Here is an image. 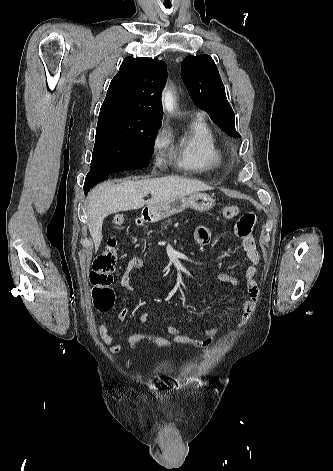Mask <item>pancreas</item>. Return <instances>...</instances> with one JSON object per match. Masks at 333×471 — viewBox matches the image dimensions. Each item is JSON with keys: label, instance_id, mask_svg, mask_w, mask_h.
Listing matches in <instances>:
<instances>
[{"label": "pancreas", "instance_id": "obj_1", "mask_svg": "<svg viewBox=\"0 0 333 471\" xmlns=\"http://www.w3.org/2000/svg\"><path fill=\"white\" fill-rule=\"evenodd\" d=\"M169 224H170V220H168V221L166 220V221L164 222V226L161 228V230H160L159 232H160L161 234H163V233H162L163 229H167V226H168Z\"/></svg>", "mask_w": 333, "mask_h": 471}]
</instances>
